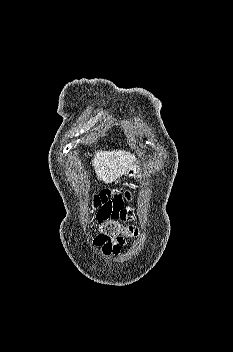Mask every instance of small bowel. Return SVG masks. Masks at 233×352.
<instances>
[{
	"mask_svg": "<svg viewBox=\"0 0 233 352\" xmlns=\"http://www.w3.org/2000/svg\"><path fill=\"white\" fill-rule=\"evenodd\" d=\"M129 198L128 193L114 192L103 189L93 196V205L96 208L98 221L114 219L119 222L126 221L129 210L125 207V200ZM95 245L99 246L105 255H117L120 253L124 240L117 238L113 240L102 239L98 236Z\"/></svg>",
	"mask_w": 233,
	"mask_h": 352,
	"instance_id": "c3829d8e",
	"label": "small bowel"
}]
</instances>
